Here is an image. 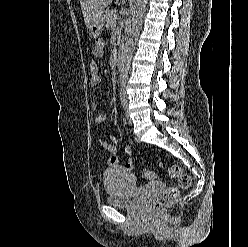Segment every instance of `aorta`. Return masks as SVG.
<instances>
[{
    "mask_svg": "<svg viewBox=\"0 0 248 247\" xmlns=\"http://www.w3.org/2000/svg\"><path fill=\"white\" fill-rule=\"evenodd\" d=\"M147 0H133L131 8V19L124 47V54L119 68V80L121 85H125L128 79L130 61L136 46L139 30L142 24L143 15L146 9Z\"/></svg>",
    "mask_w": 248,
    "mask_h": 247,
    "instance_id": "1",
    "label": "aorta"
}]
</instances>
